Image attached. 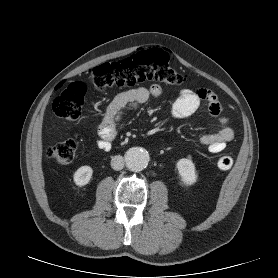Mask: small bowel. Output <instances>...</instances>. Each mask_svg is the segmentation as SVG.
Masks as SVG:
<instances>
[{"mask_svg":"<svg viewBox=\"0 0 278 278\" xmlns=\"http://www.w3.org/2000/svg\"><path fill=\"white\" fill-rule=\"evenodd\" d=\"M161 94L162 89L157 84L148 88H134L118 94L108 105L103 121L98 128L97 147L103 151L110 150L112 141L116 137V125L125 114L146 103L151 97H159ZM202 102L207 103L210 115L219 121L221 129L215 133L201 136L199 143L206 146L210 152L219 153L233 139L234 131L229 126L228 118L223 115L222 105L212 91L204 88L181 90L173 103L172 114L177 119L187 118L197 111Z\"/></svg>","mask_w":278,"mask_h":278,"instance_id":"c3829d8e","label":"small bowel"}]
</instances>
